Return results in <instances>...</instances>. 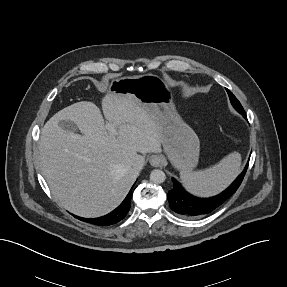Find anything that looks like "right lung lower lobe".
<instances>
[{
	"instance_id": "98d812e1",
	"label": "right lung lower lobe",
	"mask_w": 287,
	"mask_h": 287,
	"mask_svg": "<svg viewBox=\"0 0 287 287\" xmlns=\"http://www.w3.org/2000/svg\"><path fill=\"white\" fill-rule=\"evenodd\" d=\"M131 198H132V191L128 193V195L126 196L124 201L120 204V206H118L114 211H112L111 213L105 216L98 217V218H91V219L81 218L77 216L75 217L81 221L91 223L97 226H109V225L116 224L119 221H121L123 218H125L126 214L128 213L130 209V205H131Z\"/></svg>"
}]
</instances>
